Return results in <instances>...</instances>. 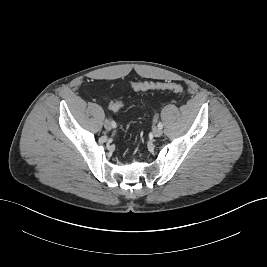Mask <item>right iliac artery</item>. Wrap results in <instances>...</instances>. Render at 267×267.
Segmentation results:
<instances>
[{
    "label": "right iliac artery",
    "instance_id": "1",
    "mask_svg": "<svg viewBox=\"0 0 267 267\" xmlns=\"http://www.w3.org/2000/svg\"><path fill=\"white\" fill-rule=\"evenodd\" d=\"M111 125H112V127H114V128L117 127V124H116L114 121H111Z\"/></svg>",
    "mask_w": 267,
    "mask_h": 267
}]
</instances>
